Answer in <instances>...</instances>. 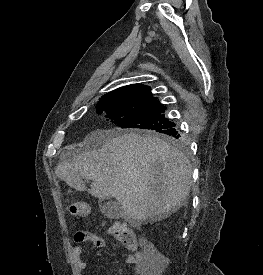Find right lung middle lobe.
<instances>
[{
	"instance_id": "obj_1",
	"label": "right lung middle lobe",
	"mask_w": 263,
	"mask_h": 275,
	"mask_svg": "<svg viewBox=\"0 0 263 275\" xmlns=\"http://www.w3.org/2000/svg\"><path fill=\"white\" fill-rule=\"evenodd\" d=\"M97 112H106L114 124L124 129L148 130L161 134L158 138L182 146L179 137L163 134L162 131L174 126L164 117L165 107L157 98H135L124 93H109L100 98Z\"/></svg>"
}]
</instances>
